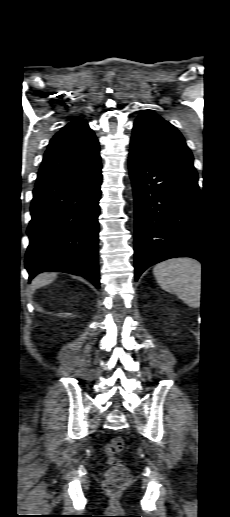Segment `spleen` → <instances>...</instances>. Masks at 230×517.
<instances>
[{"label":"spleen","instance_id":"obj_1","mask_svg":"<svg viewBox=\"0 0 230 517\" xmlns=\"http://www.w3.org/2000/svg\"><path fill=\"white\" fill-rule=\"evenodd\" d=\"M153 274L159 286L177 295L190 307L201 300V264L190 258L171 259L156 265Z\"/></svg>","mask_w":230,"mask_h":517}]
</instances>
